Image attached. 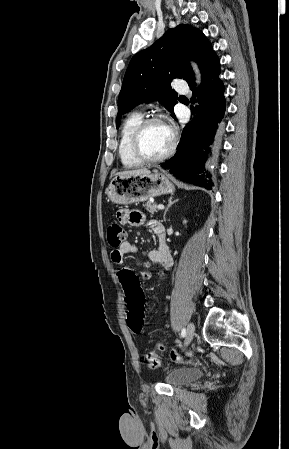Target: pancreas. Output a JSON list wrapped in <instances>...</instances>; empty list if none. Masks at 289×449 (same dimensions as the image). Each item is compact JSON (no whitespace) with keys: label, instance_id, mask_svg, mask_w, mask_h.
Segmentation results:
<instances>
[{"label":"pancreas","instance_id":"cf45deb5","mask_svg":"<svg viewBox=\"0 0 289 449\" xmlns=\"http://www.w3.org/2000/svg\"><path fill=\"white\" fill-rule=\"evenodd\" d=\"M144 207L152 214L158 211L157 205L154 202H147L146 204H144Z\"/></svg>","mask_w":289,"mask_h":449}]
</instances>
